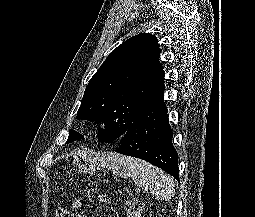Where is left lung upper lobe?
I'll use <instances>...</instances> for the list:
<instances>
[{"mask_svg":"<svg viewBox=\"0 0 255 217\" xmlns=\"http://www.w3.org/2000/svg\"><path fill=\"white\" fill-rule=\"evenodd\" d=\"M156 36L135 35L115 48L89 81L77 119L107 124L100 142L121 139L129 127L164 91ZM69 131L67 143L83 139Z\"/></svg>","mask_w":255,"mask_h":217,"instance_id":"left-lung-upper-lobe-1","label":"left lung upper lobe"}]
</instances>
